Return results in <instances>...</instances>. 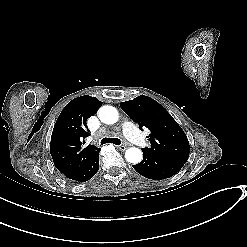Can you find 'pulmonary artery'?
I'll use <instances>...</instances> for the list:
<instances>
[{
  "label": "pulmonary artery",
  "instance_id": "obj_1",
  "mask_svg": "<svg viewBox=\"0 0 247 247\" xmlns=\"http://www.w3.org/2000/svg\"><path fill=\"white\" fill-rule=\"evenodd\" d=\"M125 138L142 147H150V143L145 139L144 133L139 129L138 125L131 120L122 119L120 123Z\"/></svg>",
  "mask_w": 247,
  "mask_h": 247
}]
</instances>
